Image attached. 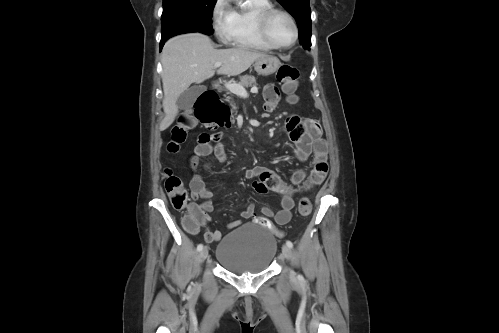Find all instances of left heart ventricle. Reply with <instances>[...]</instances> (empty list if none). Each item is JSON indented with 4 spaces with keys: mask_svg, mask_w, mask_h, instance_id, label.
Masks as SVG:
<instances>
[{
    "mask_svg": "<svg viewBox=\"0 0 499 333\" xmlns=\"http://www.w3.org/2000/svg\"><path fill=\"white\" fill-rule=\"evenodd\" d=\"M268 30L276 44L287 45L293 39V28L289 19L282 14H274L269 22Z\"/></svg>",
    "mask_w": 499,
    "mask_h": 333,
    "instance_id": "left-heart-ventricle-1",
    "label": "left heart ventricle"
}]
</instances>
